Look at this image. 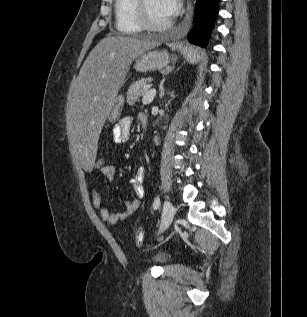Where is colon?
Segmentation results:
<instances>
[{
  "label": "colon",
  "instance_id": "colon-1",
  "mask_svg": "<svg viewBox=\"0 0 307 317\" xmlns=\"http://www.w3.org/2000/svg\"><path fill=\"white\" fill-rule=\"evenodd\" d=\"M105 166V160L102 156H97L94 163V168L96 169H102ZM135 239L137 242H140L142 240V230L141 228H137L135 230Z\"/></svg>",
  "mask_w": 307,
  "mask_h": 317
}]
</instances>
